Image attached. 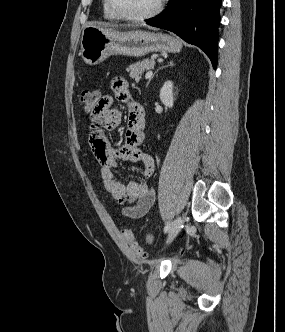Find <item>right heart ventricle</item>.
<instances>
[{"label": "right heart ventricle", "instance_id": "e07e8e85", "mask_svg": "<svg viewBox=\"0 0 285 332\" xmlns=\"http://www.w3.org/2000/svg\"><path fill=\"white\" fill-rule=\"evenodd\" d=\"M102 10H103V16L105 19L114 21L118 18L113 14V12L110 10L108 5V0H102Z\"/></svg>", "mask_w": 285, "mask_h": 332}]
</instances>
